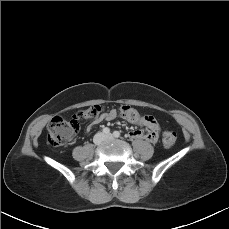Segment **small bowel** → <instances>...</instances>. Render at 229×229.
<instances>
[{
    "label": "small bowel",
    "instance_id": "1",
    "mask_svg": "<svg viewBox=\"0 0 229 229\" xmlns=\"http://www.w3.org/2000/svg\"><path fill=\"white\" fill-rule=\"evenodd\" d=\"M116 116V110H110L101 114L98 119L89 124L87 127V132H90L95 124L103 121H111L115 119ZM142 122L148 128V131L144 132L142 130H134L130 132V137L135 139H145L152 143L156 142L158 139V123L156 119L151 115H146L143 117Z\"/></svg>",
    "mask_w": 229,
    "mask_h": 229
}]
</instances>
